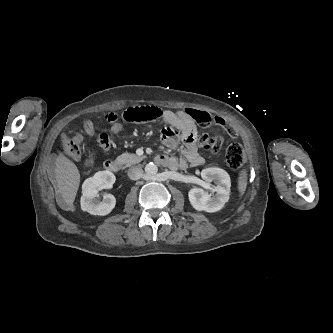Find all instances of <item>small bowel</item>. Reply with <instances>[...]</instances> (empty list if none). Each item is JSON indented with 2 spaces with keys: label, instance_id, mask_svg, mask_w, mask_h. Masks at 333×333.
Listing matches in <instances>:
<instances>
[{
  "label": "small bowel",
  "instance_id": "small-bowel-1",
  "mask_svg": "<svg viewBox=\"0 0 333 333\" xmlns=\"http://www.w3.org/2000/svg\"><path fill=\"white\" fill-rule=\"evenodd\" d=\"M155 107V106H154ZM158 108V107H156ZM171 128L164 131V142L168 148H175L179 141H182L181 152L183 158L169 157L167 155H159L158 162L168 166L171 169H186L189 164L193 166L203 165L205 160L199 154L196 146V132L193 129V123H197L204 127L211 125L220 126L221 129L227 134L229 138L237 139L238 133L233 131L228 123L221 117H212L208 112L201 110H186L182 114H176L169 110H163L161 117ZM122 119H117L112 125L111 131L117 133L123 127ZM75 160L79 159L78 156H73Z\"/></svg>",
  "mask_w": 333,
  "mask_h": 333
}]
</instances>
